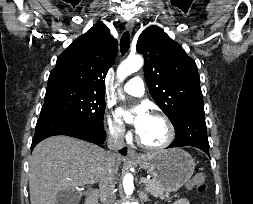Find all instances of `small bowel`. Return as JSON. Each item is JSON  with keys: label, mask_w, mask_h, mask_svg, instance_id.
Listing matches in <instances>:
<instances>
[{"label": "small bowel", "mask_w": 253, "mask_h": 204, "mask_svg": "<svg viewBox=\"0 0 253 204\" xmlns=\"http://www.w3.org/2000/svg\"><path fill=\"white\" fill-rule=\"evenodd\" d=\"M175 204H190V202L187 199H180Z\"/></svg>", "instance_id": "1"}]
</instances>
